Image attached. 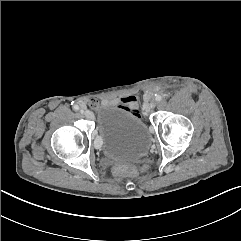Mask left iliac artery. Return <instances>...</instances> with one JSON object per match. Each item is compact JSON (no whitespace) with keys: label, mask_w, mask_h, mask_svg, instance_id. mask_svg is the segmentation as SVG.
Returning a JSON list of instances; mask_svg holds the SVG:
<instances>
[{"label":"left iliac artery","mask_w":241,"mask_h":241,"mask_svg":"<svg viewBox=\"0 0 241 241\" xmlns=\"http://www.w3.org/2000/svg\"><path fill=\"white\" fill-rule=\"evenodd\" d=\"M156 101H161L162 100V96H160V95H156Z\"/></svg>","instance_id":"44dca946"}]
</instances>
